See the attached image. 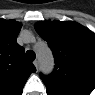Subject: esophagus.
Here are the masks:
<instances>
[{
  "label": "esophagus",
  "mask_w": 95,
  "mask_h": 95,
  "mask_svg": "<svg viewBox=\"0 0 95 95\" xmlns=\"http://www.w3.org/2000/svg\"><path fill=\"white\" fill-rule=\"evenodd\" d=\"M33 63H34V66L36 67V69L38 70L39 69V62L37 60H35Z\"/></svg>",
  "instance_id": "obj_1"
}]
</instances>
